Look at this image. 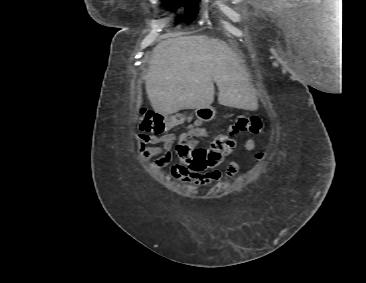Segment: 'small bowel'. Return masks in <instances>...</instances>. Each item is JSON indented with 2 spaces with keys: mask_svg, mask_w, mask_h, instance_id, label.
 I'll return each mask as SVG.
<instances>
[{
  "mask_svg": "<svg viewBox=\"0 0 366 283\" xmlns=\"http://www.w3.org/2000/svg\"><path fill=\"white\" fill-rule=\"evenodd\" d=\"M174 142L175 136L173 134H164L161 136L141 134L138 136L141 156L144 159L157 157L154 161V166L157 168L169 166L172 159L171 150ZM245 149L249 152L253 151L255 149V141L251 138L247 139ZM216 152L219 153L220 151L216 149ZM230 153H220V161L205 171H192L183 165H174L170 168V173L175 179L195 187H204L215 182L227 180L235 176L239 170L236 162H229L225 171L218 169Z\"/></svg>",
  "mask_w": 366,
  "mask_h": 283,
  "instance_id": "1",
  "label": "small bowel"
}]
</instances>
